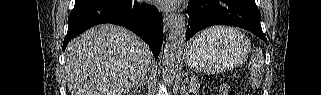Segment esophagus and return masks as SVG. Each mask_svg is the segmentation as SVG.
<instances>
[{
  "instance_id": "1",
  "label": "esophagus",
  "mask_w": 321,
  "mask_h": 95,
  "mask_svg": "<svg viewBox=\"0 0 321 95\" xmlns=\"http://www.w3.org/2000/svg\"><path fill=\"white\" fill-rule=\"evenodd\" d=\"M164 29L169 30L173 24L175 23V15L172 13H165L164 14Z\"/></svg>"
}]
</instances>
